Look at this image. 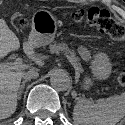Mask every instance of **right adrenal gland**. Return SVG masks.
<instances>
[{"label": "right adrenal gland", "mask_w": 125, "mask_h": 125, "mask_svg": "<svg viewBox=\"0 0 125 125\" xmlns=\"http://www.w3.org/2000/svg\"><path fill=\"white\" fill-rule=\"evenodd\" d=\"M29 80H23L20 87H19V91H18V98L21 97L23 90L25 88V83L28 82Z\"/></svg>", "instance_id": "1"}]
</instances>
